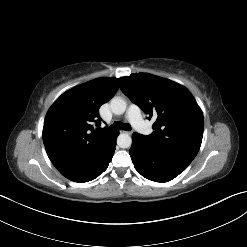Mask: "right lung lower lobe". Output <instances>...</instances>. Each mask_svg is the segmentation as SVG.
I'll return each instance as SVG.
<instances>
[{
    "label": "right lung lower lobe",
    "instance_id": "obj_1",
    "mask_svg": "<svg viewBox=\"0 0 247 247\" xmlns=\"http://www.w3.org/2000/svg\"><path fill=\"white\" fill-rule=\"evenodd\" d=\"M119 132H115L109 142L87 164L68 171L61 172L63 176L74 182H88L97 178L108 167L115 152L116 139Z\"/></svg>",
    "mask_w": 247,
    "mask_h": 247
}]
</instances>
